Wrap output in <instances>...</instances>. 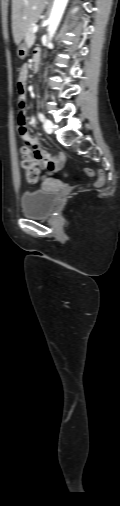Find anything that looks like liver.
Instances as JSON below:
<instances>
[{"label":"liver","mask_w":120,"mask_h":506,"mask_svg":"<svg viewBox=\"0 0 120 506\" xmlns=\"http://www.w3.org/2000/svg\"><path fill=\"white\" fill-rule=\"evenodd\" d=\"M48 0H12V33L18 45L29 25L44 11Z\"/></svg>","instance_id":"6515ba94"}]
</instances>
